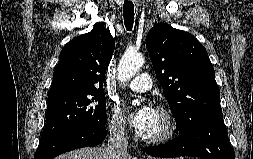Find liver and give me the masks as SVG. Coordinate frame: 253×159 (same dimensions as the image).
Listing matches in <instances>:
<instances>
[{
    "label": "liver",
    "mask_w": 253,
    "mask_h": 159,
    "mask_svg": "<svg viewBox=\"0 0 253 159\" xmlns=\"http://www.w3.org/2000/svg\"><path fill=\"white\" fill-rule=\"evenodd\" d=\"M55 159H111L107 147H88L73 150L66 154L60 155ZM116 159H137L136 157L130 156L128 153L117 156Z\"/></svg>",
    "instance_id": "1"
}]
</instances>
